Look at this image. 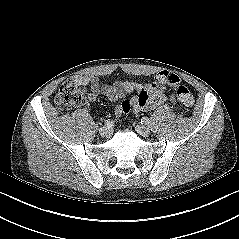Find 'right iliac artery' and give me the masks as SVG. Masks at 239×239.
<instances>
[{
	"mask_svg": "<svg viewBox=\"0 0 239 239\" xmlns=\"http://www.w3.org/2000/svg\"><path fill=\"white\" fill-rule=\"evenodd\" d=\"M105 126L108 127V128H110V127L113 126V122L110 121V120H106V121H105Z\"/></svg>",
	"mask_w": 239,
	"mask_h": 239,
	"instance_id": "obj_1",
	"label": "right iliac artery"
}]
</instances>
